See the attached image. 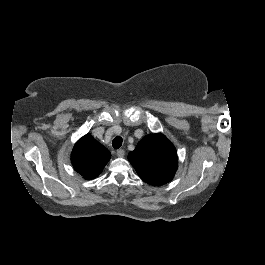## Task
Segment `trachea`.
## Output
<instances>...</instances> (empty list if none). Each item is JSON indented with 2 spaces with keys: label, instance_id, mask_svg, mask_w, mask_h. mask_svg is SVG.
Here are the masks:
<instances>
[{
  "label": "trachea",
  "instance_id": "1",
  "mask_svg": "<svg viewBox=\"0 0 265 265\" xmlns=\"http://www.w3.org/2000/svg\"><path fill=\"white\" fill-rule=\"evenodd\" d=\"M123 139L117 136L113 139L112 146L114 149H119L122 146Z\"/></svg>",
  "mask_w": 265,
  "mask_h": 265
}]
</instances>
